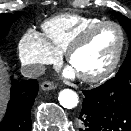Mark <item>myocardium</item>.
I'll list each match as a JSON object with an SVG mask.
<instances>
[{"label":"myocardium","mask_w":131,"mask_h":131,"mask_svg":"<svg viewBox=\"0 0 131 131\" xmlns=\"http://www.w3.org/2000/svg\"><path fill=\"white\" fill-rule=\"evenodd\" d=\"M104 26H114L115 28L118 29L119 34H120V43H119V47L118 50L113 58V60L111 61V63L102 71L96 73V74H78L79 78L85 82L88 83H97V82H101L103 80H105L106 78H108L118 67L121 58L123 56V52L125 49V45H126V34L125 31L123 29V27L115 22V21H111V20H102L98 23H95L89 27H87L86 29H84L72 42L71 44L68 46V48L65 51V57L67 62L70 64L71 59L73 57V55L75 54V52H77L80 48H82L87 42L88 40L91 38V36L100 28L104 27Z\"/></svg>","instance_id":"1"}]
</instances>
